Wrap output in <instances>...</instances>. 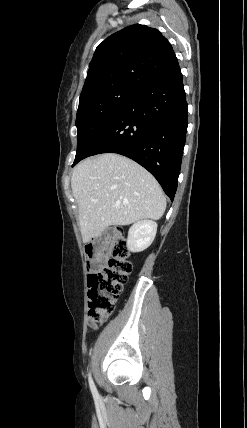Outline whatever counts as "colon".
Segmentation results:
<instances>
[{
    "label": "colon",
    "mask_w": 247,
    "mask_h": 428,
    "mask_svg": "<svg viewBox=\"0 0 247 428\" xmlns=\"http://www.w3.org/2000/svg\"><path fill=\"white\" fill-rule=\"evenodd\" d=\"M87 254L94 269L88 279V320L91 327H97L113 312L132 271V264L128 259L127 241L118 228L107 232L102 248L90 247Z\"/></svg>",
    "instance_id": "colon-1"
}]
</instances>
